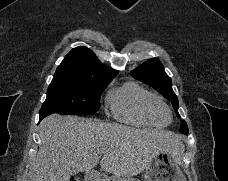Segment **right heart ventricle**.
Returning <instances> with one entry per match:
<instances>
[{"label": "right heart ventricle", "mask_w": 228, "mask_h": 181, "mask_svg": "<svg viewBox=\"0 0 228 181\" xmlns=\"http://www.w3.org/2000/svg\"><path fill=\"white\" fill-rule=\"evenodd\" d=\"M110 101L120 121L161 127L169 120V112L160 98L134 83L111 91Z\"/></svg>", "instance_id": "1"}]
</instances>
